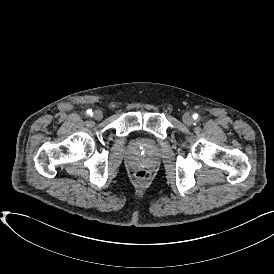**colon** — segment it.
<instances>
[{
    "label": "colon",
    "instance_id": "1",
    "mask_svg": "<svg viewBox=\"0 0 274 274\" xmlns=\"http://www.w3.org/2000/svg\"><path fill=\"white\" fill-rule=\"evenodd\" d=\"M136 179L140 182H147L150 177H151V174L149 171L147 170H139L136 175H135Z\"/></svg>",
    "mask_w": 274,
    "mask_h": 274
}]
</instances>
